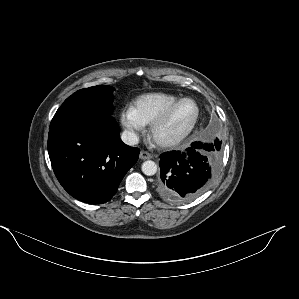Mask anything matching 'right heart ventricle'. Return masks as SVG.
Returning a JSON list of instances; mask_svg holds the SVG:
<instances>
[{
    "label": "right heart ventricle",
    "instance_id": "1",
    "mask_svg": "<svg viewBox=\"0 0 299 299\" xmlns=\"http://www.w3.org/2000/svg\"><path fill=\"white\" fill-rule=\"evenodd\" d=\"M179 97L170 93H148L138 97L132 108L137 117L145 124H151L171 103Z\"/></svg>",
    "mask_w": 299,
    "mask_h": 299
}]
</instances>
